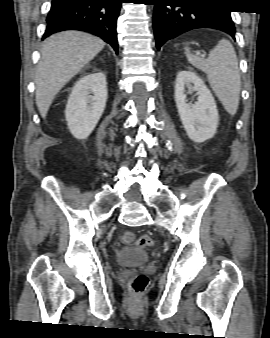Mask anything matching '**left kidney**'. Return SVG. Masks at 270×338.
<instances>
[{
	"instance_id": "obj_1",
	"label": "left kidney",
	"mask_w": 270,
	"mask_h": 338,
	"mask_svg": "<svg viewBox=\"0 0 270 338\" xmlns=\"http://www.w3.org/2000/svg\"><path fill=\"white\" fill-rule=\"evenodd\" d=\"M185 87L197 91L198 98L194 104L186 102ZM175 102L183 127L191 140L202 143L215 135L219 120L216 102L203 80L193 71L183 70L177 74Z\"/></svg>"
}]
</instances>
